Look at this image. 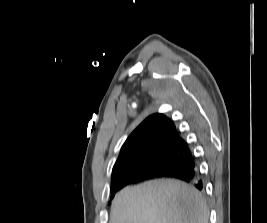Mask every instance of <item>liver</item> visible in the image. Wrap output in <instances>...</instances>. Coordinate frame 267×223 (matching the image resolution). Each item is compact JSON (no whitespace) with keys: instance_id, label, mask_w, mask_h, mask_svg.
<instances>
[{"instance_id":"liver-1","label":"liver","mask_w":267,"mask_h":223,"mask_svg":"<svg viewBox=\"0 0 267 223\" xmlns=\"http://www.w3.org/2000/svg\"><path fill=\"white\" fill-rule=\"evenodd\" d=\"M202 195L173 179L126 187L114 198L109 223H208Z\"/></svg>"}]
</instances>
